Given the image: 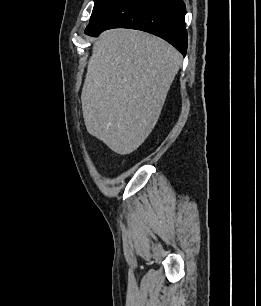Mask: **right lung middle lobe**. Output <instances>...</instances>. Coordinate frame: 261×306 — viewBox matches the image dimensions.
<instances>
[{"label":"right lung middle lobe","instance_id":"1","mask_svg":"<svg viewBox=\"0 0 261 306\" xmlns=\"http://www.w3.org/2000/svg\"><path fill=\"white\" fill-rule=\"evenodd\" d=\"M112 0H94V8L92 11V15L90 18V22H92L98 14L111 2Z\"/></svg>","mask_w":261,"mask_h":306}]
</instances>
